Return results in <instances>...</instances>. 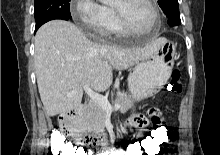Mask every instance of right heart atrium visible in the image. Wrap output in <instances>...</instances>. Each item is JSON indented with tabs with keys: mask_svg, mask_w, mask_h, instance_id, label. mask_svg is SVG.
<instances>
[{
	"mask_svg": "<svg viewBox=\"0 0 220 155\" xmlns=\"http://www.w3.org/2000/svg\"><path fill=\"white\" fill-rule=\"evenodd\" d=\"M73 19L86 31L105 35L108 29L109 16L106 7L95 0H75L71 7Z\"/></svg>",
	"mask_w": 220,
	"mask_h": 155,
	"instance_id": "d8ad5b80",
	"label": "right heart atrium"
}]
</instances>
